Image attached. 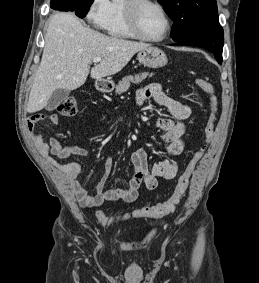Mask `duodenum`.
Masks as SVG:
<instances>
[{
	"label": "duodenum",
	"instance_id": "410a0bca",
	"mask_svg": "<svg viewBox=\"0 0 259 283\" xmlns=\"http://www.w3.org/2000/svg\"><path fill=\"white\" fill-rule=\"evenodd\" d=\"M97 88L99 91L106 92L108 90V86L104 84L102 81L97 83Z\"/></svg>",
	"mask_w": 259,
	"mask_h": 283
}]
</instances>
